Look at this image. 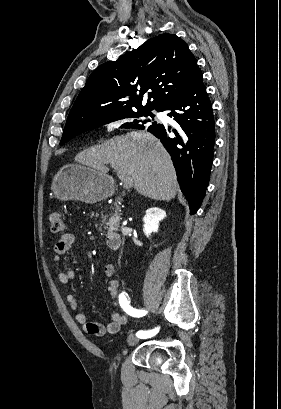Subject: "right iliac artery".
<instances>
[{"label":"right iliac artery","instance_id":"obj_1","mask_svg":"<svg viewBox=\"0 0 281 409\" xmlns=\"http://www.w3.org/2000/svg\"><path fill=\"white\" fill-rule=\"evenodd\" d=\"M126 295L127 294H125L124 292L119 295V303H120V306L123 308V310L127 314H129V315H131L133 317H142V316L146 315L147 311L137 310V309L133 308L130 305V301L127 299ZM158 331H159V328H156V329L150 330V331L141 330V331L137 332L136 336L139 337V338H148V337H152V336L156 335L158 333Z\"/></svg>","mask_w":281,"mask_h":409}]
</instances>
